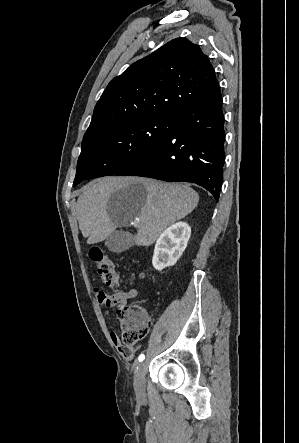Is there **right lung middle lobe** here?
<instances>
[{
    "instance_id": "dd1d6c3e",
    "label": "right lung middle lobe",
    "mask_w": 299,
    "mask_h": 443,
    "mask_svg": "<svg viewBox=\"0 0 299 443\" xmlns=\"http://www.w3.org/2000/svg\"><path fill=\"white\" fill-rule=\"evenodd\" d=\"M172 131L169 116L136 119L84 138L73 186L115 175L151 152Z\"/></svg>"
}]
</instances>
